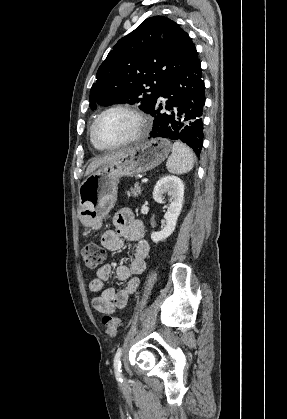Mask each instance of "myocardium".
<instances>
[{"label": "myocardium", "mask_w": 287, "mask_h": 419, "mask_svg": "<svg viewBox=\"0 0 287 419\" xmlns=\"http://www.w3.org/2000/svg\"><path fill=\"white\" fill-rule=\"evenodd\" d=\"M117 110H121V111H126L130 114H132L138 121L139 123V128L136 131V133L129 139L119 142V143H115V144H107V143H102L100 142L97 137H96V133H95V129L96 126L98 124V122L100 121V119L106 115L109 112L112 111H117ZM148 120L145 117V115L136 107H134L133 105L127 104V103H120V104H114L112 106H109L107 108H105L103 111H101L97 117L94 119L91 128H90V136L92 141L99 147L103 148V149H115V148H120V147H124L130 144H133L135 142H137L138 140H140L147 132L148 130Z\"/></svg>", "instance_id": "myocardium-1"}]
</instances>
